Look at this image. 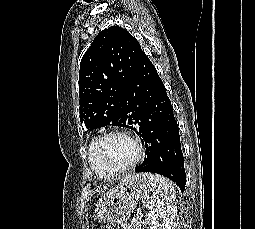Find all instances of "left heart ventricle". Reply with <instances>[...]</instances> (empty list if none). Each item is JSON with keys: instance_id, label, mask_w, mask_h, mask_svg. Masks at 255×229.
I'll return each mask as SVG.
<instances>
[{"instance_id": "left-heart-ventricle-1", "label": "left heart ventricle", "mask_w": 255, "mask_h": 229, "mask_svg": "<svg viewBox=\"0 0 255 229\" xmlns=\"http://www.w3.org/2000/svg\"><path fill=\"white\" fill-rule=\"evenodd\" d=\"M100 155L105 163L113 167L129 164L135 157V146L123 136H110L106 138L100 148Z\"/></svg>"}]
</instances>
